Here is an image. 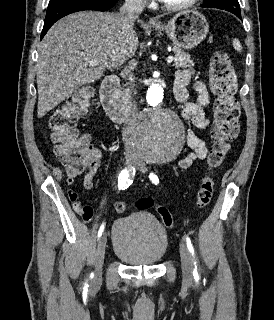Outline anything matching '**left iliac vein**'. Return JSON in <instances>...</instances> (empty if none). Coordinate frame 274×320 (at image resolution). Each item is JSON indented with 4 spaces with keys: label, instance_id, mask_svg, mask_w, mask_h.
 Masks as SVG:
<instances>
[{
    "label": "left iliac vein",
    "instance_id": "4c4485c4",
    "mask_svg": "<svg viewBox=\"0 0 274 320\" xmlns=\"http://www.w3.org/2000/svg\"><path fill=\"white\" fill-rule=\"evenodd\" d=\"M135 167L142 173H144L147 170L145 164L142 161H137ZM179 251L181 256L183 276L184 279L189 282L192 280L193 277V265L190 252L184 242L180 243Z\"/></svg>",
    "mask_w": 274,
    "mask_h": 320
}]
</instances>
